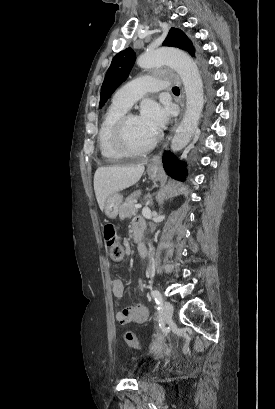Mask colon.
<instances>
[{"instance_id":"obj_1","label":"colon","mask_w":275,"mask_h":409,"mask_svg":"<svg viewBox=\"0 0 275 409\" xmlns=\"http://www.w3.org/2000/svg\"><path fill=\"white\" fill-rule=\"evenodd\" d=\"M103 234L107 247L110 250V258L114 262L120 264L124 258V247L120 242V230L118 227H114L111 223H108L103 228ZM124 339L127 345L135 350H141V343L135 337L132 331H126Z\"/></svg>"}]
</instances>
